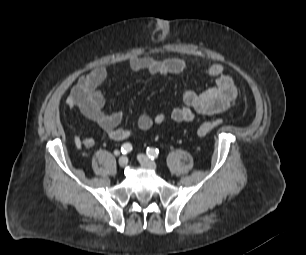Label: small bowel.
Listing matches in <instances>:
<instances>
[{"mask_svg": "<svg viewBox=\"0 0 306 255\" xmlns=\"http://www.w3.org/2000/svg\"><path fill=\"white\" fill-rule=\"evenodd\" d=\"M128 63L132 71H146L158 79L181 74L187 67L186 62L177 57L156 59L142 56L132 58ZM207 73L215 79V86L201 93L191 89L185 90L183 105L174 108L171 112V118L174 121L191 122L195 119L196 114L221 113L235 104L238 91L233 78L225 73L224 66L220 63H213L208 67ZM106 77L107 69L104 66H97L80 76L66 99L67 107L78 109L84 117L115 141L125 140L135 128L146 131L165 122L166 115L163 112L154 115L141 113L131 125L120 127L124 119V112L122 110L106 111L105 98L99 90V86ZM83 144L90 148L95 144V140L92 137H86Z\"/></svg>", "mask_w": 306, "mask_h": 255, "instance_id": "small-bowel-1", "label": "small bowel"}]
</instances>
